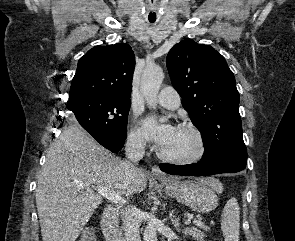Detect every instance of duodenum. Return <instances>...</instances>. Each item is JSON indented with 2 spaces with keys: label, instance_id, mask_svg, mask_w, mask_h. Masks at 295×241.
Here are the masks:
<instances>
[{
  "label": "duodenum",
  "instance_id": "410a0bca",
  "mask_svg": "<svg viewBox=\"0 0 295 241\" xmlns=\"http://www.w3.org/2000/svg\"><path fill=\"white\" fill-rule=\"evenodd\" d=\"M101 228L107 241H125L118 229V210L107 206L101 220Z\"/></svg>",
  "mask_w": 295,
  "mask_h": 241
}]
</instances>
